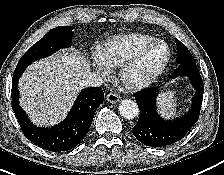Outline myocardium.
<instances>
[{
	"label": "myocardium",
	"instance_id": "obj_1",
	"mask_svg": "<svg viewBox=\"0 0 224 175\" xmlns=\"http://www.w3.org/2000/svg\"><path fill=\"white\" fill-rule=\"evenodd\" d=\"M156 46L165 48V55L160 64L150 73L133 77V72L139 65L144 55ZM171 57V50L168 44L162 40H154L141 47L131 58L125 61L119 67L118 77L122 85L128 90H139L151 85L165 70Z\"/></svg>",
	"mask_w": 224,
	"mask_h": 175
}]
</instances>
